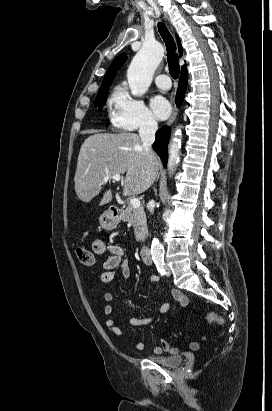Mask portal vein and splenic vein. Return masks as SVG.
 Listing matches in <instances>:
<instances>
[{
    "label": "portal vein and splenic vein",
    "mask_w": 272,
    "mask_h": 411,
    "mask_svg": "<svg viewBox=\"0 0 272 411\" xmlns=\"http://www.w3.org/2000/svg\"><path fill=\"white\" fill-rule=\"evenodd\" d=\"M110 179H114V180H116V181H120V180H121V176H120V174H112V175L107 174V175H105V176L103 177V180H104L105 182H107V181L110 180ZM130 205H131L133 208H138V207H140V200L137 199V198H132V199H130Z\"/></svg>",
    "instance_id": "portal-vein-and-splenic-vein-1"
}]
</instances>
